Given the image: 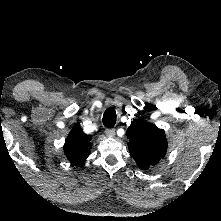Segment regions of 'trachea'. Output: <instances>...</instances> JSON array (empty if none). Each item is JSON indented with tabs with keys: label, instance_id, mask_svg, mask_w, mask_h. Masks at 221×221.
<instances>
[{
	"label": "trachea",
	"instance_id": "1",
	"mask_svg": "<svg viewBox=\"0 0 221 221\" xmlns=\"http://www.w3.org/2000/svg\"><path fill=\"white\" fill-rule=\"evenodd\" d=\"M103 125L112 128L116 123V111L113 108H108L103 115Z\"/></svg>",
	"mask_w": 221,
	"mask_h": 221
}]
</instances>
